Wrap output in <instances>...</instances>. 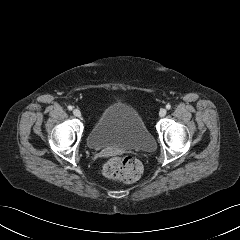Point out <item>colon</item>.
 Listing matches in <instances>:
<instances>
[{"label":"colon","mask_w":240,"mask_h":240,"mask_svg":"<svg viewBox=\"0 0 240 240\" xmlns=\"http://www.w3.org/2000/svg\"><path fill=\"white\" fill-rule=\"evenodd\" d=\"M103 175L114 181L131 183L139 179L142 174L140 162L130 156L111 157L102 167Z\"/></svg>","instance_id":"obj_1"}]
</instances>
